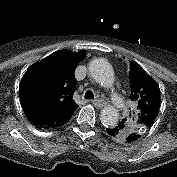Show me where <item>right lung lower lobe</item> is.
Here are the masks:
<instances>
[{"label": "right lung lower lobe", "instance_id": "obj_1", "mask_svg": "<svg viewBox=\"0 0 177 177\" xmlns=\"http://www.w3.org/2000/svg\"><path fill=\"white\" fill-rule=\"evenodd\" d=\"M28 119L30 120L31 123H33L35 126L39 128H45V129L54 128L53 125L37 117H28Z\"/></svg>", "mask_w": 177, "mask_h": 177}]
</instances>
